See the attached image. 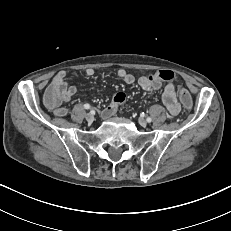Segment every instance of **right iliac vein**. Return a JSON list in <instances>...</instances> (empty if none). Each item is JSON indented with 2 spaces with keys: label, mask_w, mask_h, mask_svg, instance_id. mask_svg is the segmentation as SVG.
<instances>
[{
  "label": "right iliac vein",
  "mask_w": 231,
  "mask_h": 231,
  "mask_svg": "<svg viewBox=\"0 0 231 231\" xmlns=\"http://www.w3.org/2000/svg\"><path fill=\"white\" fill-rule=\"evenodd\" d=\"M85 118L88 122H93L94 121V116L92 113H86Z\"/></svg>",
  "instance_id": "1"
}]
</instances>
